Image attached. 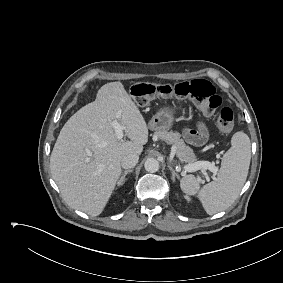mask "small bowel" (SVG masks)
I'll use <instances>...</instances> for the list:
<instances>
[{
    "instance_id": "c3829d8e",
    "label": "small bowel",
    "mask_w": 283,
    "mask_h": 283,
    "mask_svg": "<svg viewBox=\"0 0 283 283\" xmlns=\"http://www.w3.org/2000/svg\"><path fill=\"white\" fill-rule=\"evenodd\" d=\"M184 136L190 144L200 146L207 140L208 132L206 127L200 124L197 129H186Z\"/></svg>"
}]
</instances>
